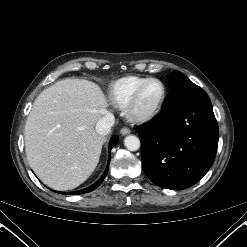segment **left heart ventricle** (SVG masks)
I'll use <instances>...</instances> for the list:
<instances>
[{"mask_svg":"<svg viewBox=\"0 0 247 247\" xmlns=\"http://www.w3.org/2000/svg\"><path fill=\"white\" fill-rule=\"evenodd\" d=\"M162 95V87L157 82H152L148 84L142 91L139 100L136 104V112L138 113H147L153 110Z\"/></svg>","mask_w":247,"mask_h":247,"instance_id":"left-heart-ventricle-1","label":"left heart ventricle"}]
</instances>
